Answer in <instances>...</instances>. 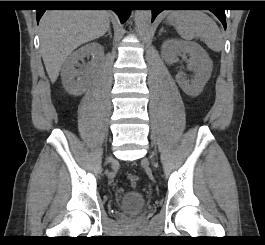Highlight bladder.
Wrapping results in <instances>:
<instances>
[{
	"mask_svg": "<svg viewBox=\"0 0 265 245\" xmlns=\"http://www.w3.org/2000/svg\"><path fill=\"white\" fill-rule=\"evenodd\" d=\"M147 206L145 196L136 191L126 192L119 203V209L123 214H136L143 211Z\"/></svg>",
	"mask_w": 265,
	"mask_h": 245,
	"instance_id": "31cf9c89",
	"label": "bladder"
}]
</instances>
